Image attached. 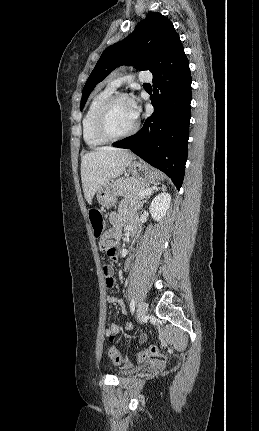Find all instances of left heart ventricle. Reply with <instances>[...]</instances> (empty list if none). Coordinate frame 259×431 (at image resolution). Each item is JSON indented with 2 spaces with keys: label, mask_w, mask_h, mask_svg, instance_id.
<instances>
[{
  "label": "left heart ventricle",
  "mask_w": 259,
  "mask_h": 431,
  "mask_svg": "<svg viewBox=\"0 0 259 431\" xmlns=\"http://www.w3.org/2000/svg\"><path fill=\"white\" fill-rule=\"evenodd\" d=\"M136 118L133 116L128 105V99L117 101L111 108L109 113V128L116 134L124 133L130 130Z\"/></svg>",
  "instance_id": "obj_1"
}]
</instances>
